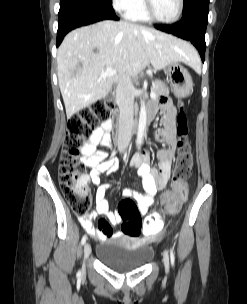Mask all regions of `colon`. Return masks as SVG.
<instances>
[{"instance_id": "5ec220e1", "label": "colon", "mask_w": 247, "mask_h": 304, "mask_svg": "<svg viewBox=\"0 0 247 304\" xmlns=\"http://www.w3.org/2000/svg\"><path fill=\"white\" fill-rule=\"evenodd\" d=\"M112 107L111 98L100 100L68 119L67 134L60 154L59 184L69 206L80 217H85L91 206L84 164L79 157L80 149L96 124L109 117ZM177 134L175 184L172 190L164 192L161 196V201L169 213L177 211L186 198L188 184L185 182L193 167L187 118L182 108L177 116ZM118 215L122 220V232L131 237L143 232L144 238H151L163 228L162 219L157 214L148 216L142 223L136 203L129 198L119 203Z\"/></svg>"}]
</instances>
